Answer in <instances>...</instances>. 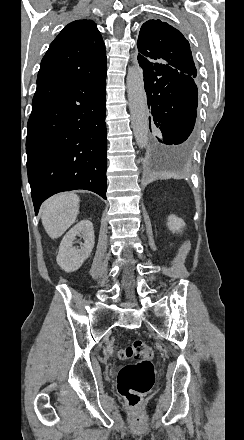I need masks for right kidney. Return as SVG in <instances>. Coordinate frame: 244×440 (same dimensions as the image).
<instances>
[{
    "label": "right kidney",
    "instance_id": "ca27d5eb",
    "mask_svg": "<svg viewBox=\"0 0 244 440\" xmlns=\"http://www.w3.org/2000/svg\"><path fill=\"white\" fill-rule=\"evenodd\" d=\"M76 236L83 238L84 244H81L80 250L74 248V240ZM94 230L90 220H81L74 228H71L65 234L57 256V264L64 272H75L83 262L89 258L94 248Z\"/></svg>",
    "mask_w": 244,
    "mask_h": 440
}]
</instances>
